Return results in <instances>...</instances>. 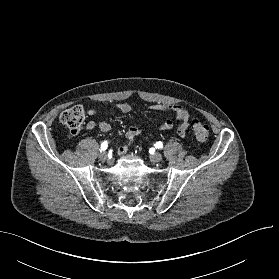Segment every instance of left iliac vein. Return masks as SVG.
Listing matches in <instances>:
<instances>
[{"label":"left iliac vein","mask_w":279,"mask_h":279,"mask_svg":"<svg viewBox=\"0 0 279 279\" xmlns=\"http://www.w3.org/2000/svg\"><path fill=\"white\" fill-rule=\"evenodd\" d=\"M163 156L158 153V152H155L153 154H151L150 156V159L152 162H160L162 160Z\"/></svg>","instance_id":"left-iliac-vein-1"}]
</instances>
